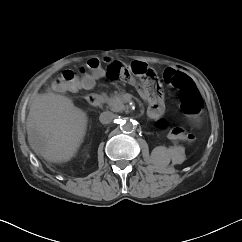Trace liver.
I'll return each instance as SVG.
<instances>
[{
  "label": "liver",
  "instance_id": "6515ba94",
  "mask_svg": "<svg viewBox=\"0 0 242 242\" xmlns=\"http://www.w3.org/2000/svg\"><path fill=\"white\" fill-rule=\"evenodd\" d=\"M87 123L86 113L70 98L54 93L37 94L27 116L28 143L48 162H67L82 144Z\"/></svg>",
  "mask_w": 242,
  "mask_h": 242
}]
</instances>
